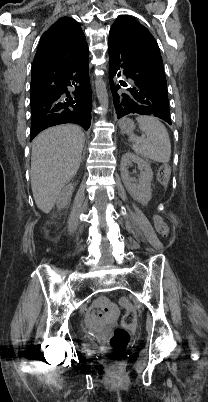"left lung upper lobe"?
Here are the masks:
<instances>
[{
  "label": "left lung upper lobe",
  "mask_w": 208,
  "mask_h": 402,
  "mask_svg": "<svg viewBox=\"0 0 208 402\" xmlns=\"http://www.w3.org/2000/svg\"><path fill=\"white\" fill-rule=\"evenodd\" d=\"M111 30H115L134 44V71L143 79L167 91L160 50L149 30L127 15L117 18Z\"/></svg>",
  "instance_id": "5c2ea615"
}]
</instances>
